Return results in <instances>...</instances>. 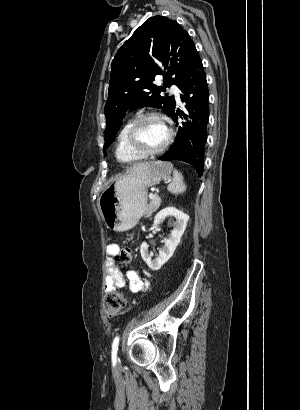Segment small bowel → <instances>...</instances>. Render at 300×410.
Returning a JSON list of instances; mask_svg holds the SVG:
<instances>
[{
    "label": "small bowel",
    "instance_id": "1",
    "mask_svg": "<svg viewBox=\"0 0 300 410\" xmlns=\"http://www.w3.org/2000/svg\"><path fill=\"white\" fill-rule=\"evenodd\" d=\"M119 250L116 243H111L107 246L106 259V279L104 290L106 292L115 291L116 289L128 288L133 293H141L147 290L150 281L147 278L141 277L134 271L123 273L115 264L113 256Z\"/></svg>",
    "mask_w": 300,
    "mask_h": 410
}]
</instances>
